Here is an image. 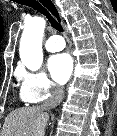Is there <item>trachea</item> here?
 Segmentation results:
<instances>
[{"mask_svg":"<svg viewBox=\"0 0 117 136\" xmlns=\"http://www.w3.org/2000/svg\"><path fill=\"white\" fill-rule=\"evenodd\" d=\"M19 3L23 5H27L29 7L34 8L39 13L43 14L48 21L50 22L51 26L59 32H63V28L60 23L49 13V11L43 7L38 1L36 0H17Z\"/></svg>","mask_w":117,"mask_h":136,"instance_id":"obj_1","label":"trachea"}]
</instances>
